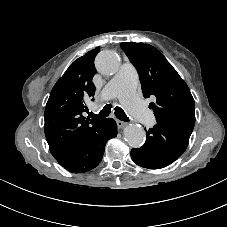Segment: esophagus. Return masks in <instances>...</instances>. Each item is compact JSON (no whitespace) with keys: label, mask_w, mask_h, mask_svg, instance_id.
Wrapping results in <instances>:
<instances>
[{"label":"esophagus","mask_w":227,"mask_h":227,"mask_svg":"<svg viewBox=\"0 0 227 227\" xmlns=\"http://www.w3.org/2000/svg\"><path fill=\"white\" fill-rule=\"evenodd\" d=\"M117 126L119 129H122L125 127L126 123L121 120H116Z\"/></svg>","instance_id":"obj_1"}]
</instances>
